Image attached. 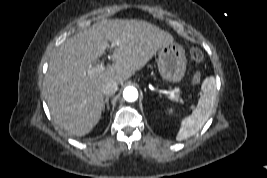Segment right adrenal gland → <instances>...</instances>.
Masks as SVG:
<instances>
[{
  "label": "right adrenal gland",
  "mask_w": 267,
  "mask_h": 178,
  "mask_svg": "<svg viewBox=\"0 0 267 178\" xmlns=\"http://www.w3.org/2000/svg\"><path fill=\"white\" fill-rule=\"evenodd\" d=\"M109 98L110 96H106L104 99L103 107H102L103 112L105 111V107L107 108V110H109Z\"/></svg>",
  "instance_id": "right-adrenal-gland-1"
}]
</instances>
